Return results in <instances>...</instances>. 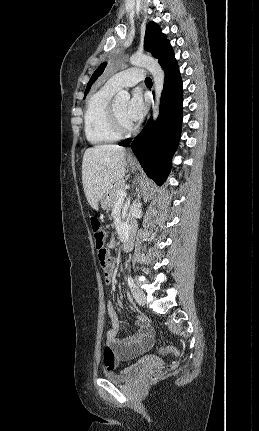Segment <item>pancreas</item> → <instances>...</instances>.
Here are the masks:
<instances>
[{
	"mask_svg": "<svg viewBox=\"0 0 259 431\" xmlns=\"http://www.w3.org/2000/svg\"><path fill=\"white\" fill-rule=\"evenodd\" d=\"M120 190H125V181L124 180H120V181L116 182L114 184V186L110 188L109 200H110L111 206L115 205L118 202L119 198L117 196V192Z\"/></svg>",
	"mask_w": 259,
	"mask_h": 431,
	"instance_id": "obj_1",
	"label": "pancreas"
}]
</instances>
